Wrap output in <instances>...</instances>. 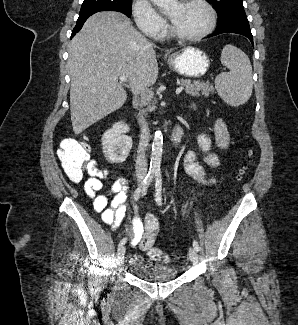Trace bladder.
I'll list each match as a JSON object with an SVG mask.
<instances>
[{"instance_id":"1","label":"bladder","mask_w":298,"mask_h":325,"mask_svg":"<svg viewBox=\"0 0 298 325\" xmlns=\"http://www.w3.org/2000/svg\"><path fill=\"white\" fill-rule=\"evenodd\" d=\"M131 273L140 280L150 283H164L177 278L176 268L155 263L143 255H133L129 260Z\"/></svg>"}]
</instances>
